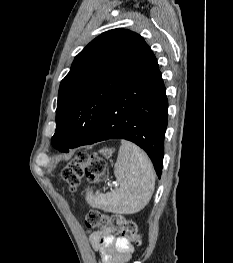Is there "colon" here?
Returning <instances> with one entry per match:
<instances>
[{"label":"colon","mask_w":233,"mask_h":263,"mask_svg":"<svg viewBox=\"0 0 233 263\" xmlns=\"http://www.w3.org/2000/svg\"><path fill=\"white\" fill-rule=\"evenodd\" d=\"M105 168V161L97 154L80 152L63 169L62 178L69 186V189L75 191L82 178L91 181L102 179ZM85 221L88 227H110L114 232L135 244H141L142 242V236L138 232L135 223L123 215L108 216L98 210L88 209L85 214Z\"/></svg>","instance_id":"5ec220e1"}]
</instances>
